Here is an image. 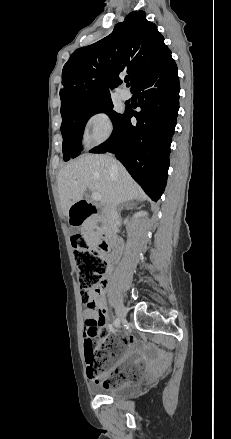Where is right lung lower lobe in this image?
<instances>
[{"label":"right lung lower lobe","mask_w":231,"mask_h":439,"mask_svg":"<svg viewBox=\"0 0 231 439\" xmlns=\"http://www.w3.org/2000/svg\"><path fill=\"white\" fill-rule=\"evenodd\" d=\"M140 112L126 107L110 138L91 153H115L134 180L154 201L166 186L169 155L179 109V78L172 57L131 89ZM137 124H131V117Z\"/></svg>","instance_id":"right-lung-lower-lobe-1"}]
</instances>
